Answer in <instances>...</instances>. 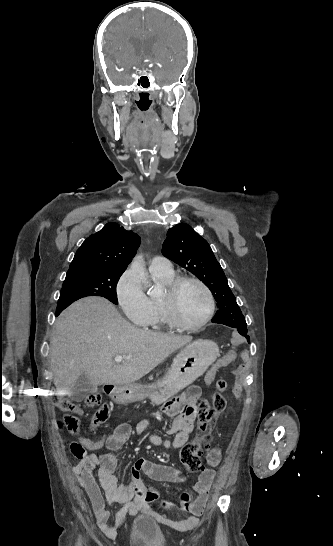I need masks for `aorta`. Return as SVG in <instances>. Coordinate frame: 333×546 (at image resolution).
Listing matches in <instances>:
<instances>
[{"label": "aorta", "instance_id": "1", "mask_svg": "<svg viewBox=\"0 0 333 546\" xmlns=\"http://www.w3.org/2000/svg\"><path fill=\"white\" fill-rule=\"evenodd\" d=\"M141 259V256H137L135 258V261L132 263V268H134L138 272L140 282L144 285V287L148 288L150 287V283L147 279L146 273L144 272V267L140 263Z\"/></svg>", "mask_w": 333, "mask_h": 546}]
</instances>
